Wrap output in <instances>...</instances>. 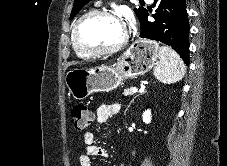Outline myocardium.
<instances>
[{
  "label": "myocardium",
  "mask_w": 227,
  "mask_h": 166,
  "mask_svg": "<svg viewBox=\"0 0 227 166\" xmlns=\"http://www.w3.org/2000/svg\"><path fill=\"white\" fill-rule=\"evenodd\" d=\"M98 17H107L112 18L118 21H121L124 23L123 17L114 11L109 10H95L91 11L84 16H82L78 21L76 22L73 31H72V43L74 47L82 54L87 56H105L113 54L119 50H121L123 47L126 46L128 39H129V33L126 29V34L124 39L118 43L117 45L110 47V48H92L88 47L85 44L82 43V41L79 38V30L81 26L86 23L87 21L98 18ZM125 24V23H124Z\"/></svg>",
  "instance_id": "obj_1"
}]
</instances>
